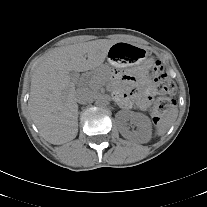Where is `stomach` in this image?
Returning a JSON list of instances; mask_svg holds the SVG:
<instances>
[{
  "mask_svg": "<svg viewBox=\"0 0 207 207\" xmlns=\"http://www.w3.org/2000/svg\"><path fill=\"white\" fill-rule=\"evenodd\" d=\"M147 56L148 53L145 49L123 42L114 44L107 54L109 63L118 68L144 64L147 62Z\"/></svg>",
  "mask_w": 207,
  "mask_h": 207,
  "instance_id": "obj_1",
  "label": "stomach"
}]
</instances>
